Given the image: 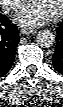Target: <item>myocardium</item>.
Returning a JSON list of instances; mask_svg holds the SVG:
<instances>
[{
	"label": "myocardium",
	"mask_w": 63,
	"mask_h": 107,
	"mask_svg": "<svg viewBox=\"0 0 63 107\" xmlns=\"http://www.w3.org/2000/svg\"><path fill=\"white\" fill-rule=\"evenodd\" d=\"M62 12H63V1L61 0L60 7H59L58 11L53 15V18L54 19L59 18L61 16Z\"/></svg>",
	"instance_id": "f54148a6"
}]
</instances>
